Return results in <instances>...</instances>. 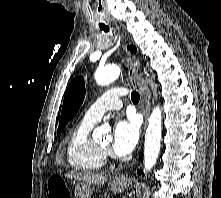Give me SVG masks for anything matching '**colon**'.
<instances>
[{"instance_id": "colon-1", "label": "colon", "mask_w": 221, "mask_h": 198, "mask_svg": "<svg viewBox=\"0 0 221 198\" xmlns=\"http://www.w3.org/2000/svg\"><path fill=\"white\" fill-rule=\"evenodd\" d=\"M49 198H71L65 182L59 176L51 177L48 181Z\"/></svg>"}]
</instances>
